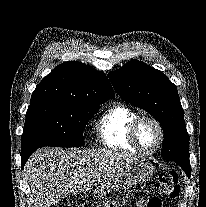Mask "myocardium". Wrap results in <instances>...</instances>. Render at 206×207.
<instances>
[{"label": "myocardium", "mask_w": 206, "mask_h": 207, "mask_svg": "<svg viewBox=\"0 0 206 207\" xmlns=\"http://www.w3.org/2000/svg\"><path fill=\"white\" fill-rule=\"evenodd\" d=\"M145 120H148V121H151L152 123L155 124V126L157 127L158 131H159V134H160V140H159V143L158 145L152 149V150H147V149H144L139 141H138V137H137V130H138V127L139 125L145 121ZM128 137H129V141L130 143L132 144V146L140 153L144 154V155H154L156 154L164 145L165 143V130H164V127L163 125L161 124V122L153 117V116H150V115H139L137 116L133 121L132 123L130 124L129 126V130H128Z\"/></svg>", "instance_id": "myocardium-1"}]
</instances>
